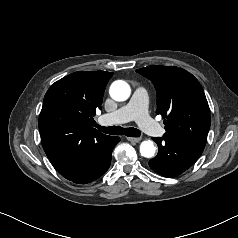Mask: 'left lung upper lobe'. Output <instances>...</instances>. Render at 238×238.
<instances>
[{"label": "left lung upper lobe", "mask_w": 238, "mask_h": 238, "mask_svg": "<svg viewBox=\"0 0 238 238\" xmlns=\"http://www.w3.org/2000/svg\"><path fill=\"white\" fill-rule=\"evenodd\" d=\"M136 72L151 80L156 88V113L165 119L164 137L204 148L210 129V109L198 80L175 66L151 65Z\"/></svg>", "instance_id": "left-lung-upper-lobe-1"}]
</instances>
